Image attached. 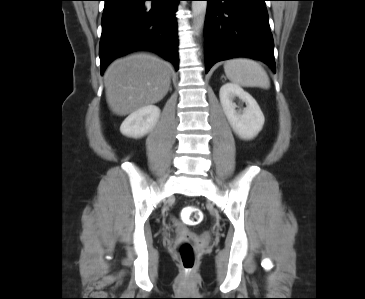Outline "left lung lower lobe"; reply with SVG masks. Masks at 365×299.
I'll return each mask as SVG.
<instances>
[{
  "label": "left lung lower lobe",
  "instance_id": "0a47b994",
  "mask_svg": "<svg viewBox=\"0 0 365 299\" xmlns=\"http://www.w3.org/2000/svg\"><path fill=\"white\" fill-rule=\"evenodd\" d=\"M206 1V73L216 62L234 57L261 60L276 72L266 0Z\"/></svg>",
  "mask_w": 365,
  "mask_h": 299
}]
</instances>
